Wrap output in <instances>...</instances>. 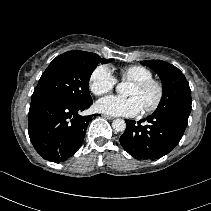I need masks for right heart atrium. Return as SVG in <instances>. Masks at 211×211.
Segmentation results:
<instances>
[{
	"label": "right heart atrium",
	"instance_id": "1",
	"mask_svg": "<svg viewBox=\"0 0 211 211\" xmlns=\"http://www.w3.org/2000/svg\"><path fill=\"white\" fill-rule=\"evenodd\" d=\"M116 83L115 76L106 65L97 66L91 72L88 80L89 89L96 96L111 92L116 86Z\"/></svg>",
	"mask_w": 211,
	"mask_h": 211
}]
</instances>
